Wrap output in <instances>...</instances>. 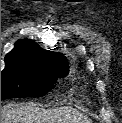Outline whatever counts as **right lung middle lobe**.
<instances>
[{"mask_svg":"<svg viewBox=\"0 0 122 123\" xmlns=\"http://www.w3.org/2000/svg\"><path fill=\"white\" fill-rule=\"evenodd\" d=\"M68 73L66 67H41L17 61H5L1 71V100L39 97L55 87L58 78Z\"/></svg>","mask_w":122,"mask_h":123,"instance_id":"right-lung-middle-lobe-1","label":"right lung middle lobe"}]
</instances>
